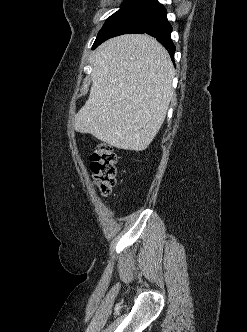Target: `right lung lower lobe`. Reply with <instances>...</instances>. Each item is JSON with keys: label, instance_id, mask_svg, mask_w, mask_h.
<instances>
[{"label": "right lung lower lobe", "instance_id": "right-lung-lower-lobe-1", "mask_svg": "<svg viewBox=\"0 0 247 332\" xmlns=\"http://www.w3.org/2000/svg\"><path fill=\"white\" fill-rule=\"evenodd\" d=\"M166 9L157 1L152 0L147 4L126 14L101 35L97 44L92 47L95 49L101 43L115 36L131 33H146L155 37L169 52L174 60L175 46L170 38L172 27L166 17Z\"/></svg>", "mask_w": 247, "mask_h": 332}]
</instances>
